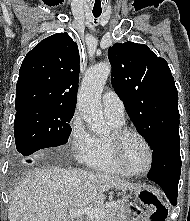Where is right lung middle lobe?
Here are the masks:
<instances>
[{"label": "right lung middle lobe", "mask_w": 190, "mask_h": 221, "mask_svg": "<svg viewBox=\"0 0 190 221\" xmlns=\"http://www.w3.org/2000/svg\"><path fill=\"white\" fill-rule=\"evenodd\" d=\"M73 114L72 108L53 106H35L17 112L14 121L17 151L28 157L67 143Z\"/></svg>", "instance_id": "right-lung-middle-lobe-1"}]
</instances>
